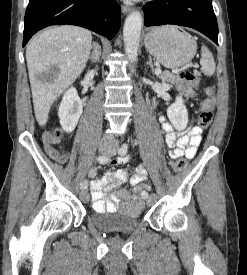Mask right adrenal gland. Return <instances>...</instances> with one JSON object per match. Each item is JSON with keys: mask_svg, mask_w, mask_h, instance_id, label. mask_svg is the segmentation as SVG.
I'll use <instances>...</instances> for the list:
<instances>
[{"mask_svg": "<svg viewBox=\"0 0 247 275\" xmlns=\"http://www.w3.org/2000/svg\"><path fill=\"white\" fill-rule=\"evenodd\" d=\"M93 49L94 51L92 52V54L89 56V60L94 63L96 61L99 60L100 56H101V51H100V47L98 44L93 43Z\"/></svg>", "mask_w": 247, "mask_h": 275, "instance_id": "1", "label": "right adrenal gland"}]
</instances>
